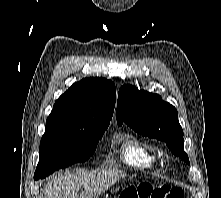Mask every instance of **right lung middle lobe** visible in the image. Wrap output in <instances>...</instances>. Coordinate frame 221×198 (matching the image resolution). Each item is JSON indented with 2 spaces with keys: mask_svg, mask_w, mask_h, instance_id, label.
Returning <instances> with one entry per match:
<instances>
[{
  "mask_svg": "<svg viewBox=\"0 0 221 198\" xmlns=\"http://www.w3.org/2000/svg\"><path fill=\"white\" fill-rule=\"evenodd\" d=\"M106 129L99 127L86 133L45 132L40 142L34 179H42L56 170L87 161Z\"/></svg>",
  "mask_w": 221,
  "mask_h": 198,
  "instance_id": "obj_1",
  "label": "right lung middle lobe"
}]
</instances>
